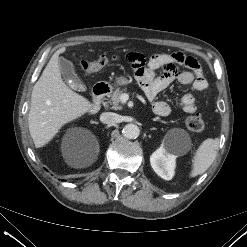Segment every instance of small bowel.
<instances>
[{
  "instance_id": "c3829d8e",
  "label": "small bowel",
  "mask_w": 247,
  "mask_h": 247,
  "mask_svg": "<svg viewBox=\"0 0 247 247\" xmlns=\"http://www.w3.org/2000/svg\"><path fill=\"white\" fill-rule=\"evenodd\" d=\"M126 60L134 70L136 80L149 101L153 102L156 115L165 117L171 113L170 105L165 101H156L158 94L177 80L182 86H191L193 91H203L207 88L198 61L183 53H161L150 56L147 60L137 53H129ZM177 66H184L188 70L178 73ZM162 74L156 76L157 71ZM181 108L190 113L196 111L195 98L187 93L179 100Z\"/></svg>"
}]
</instances>
